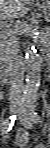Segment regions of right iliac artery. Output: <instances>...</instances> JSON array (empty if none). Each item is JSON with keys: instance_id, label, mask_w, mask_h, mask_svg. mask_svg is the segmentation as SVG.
I'll use <instances>...</instances> for the list:
<instances>
[{"instance_id": "right-iliac-artery-1", "label": "right iliac artery", "mask_w": 50, "mask_h": 148, "mask_svg": "<svg viewBox=\"0 0 50 148\" xmlns=\"http://www.w3.org/2000/svg\"><path fill=\"white\" fill-rule=\"evenodd\" d=\"M16 115H11L8 119H6L5 121H3L2 123V131L3 133H7L8 131L11 130L12 126L14 125V122L16 120Z\"/></svg>"}]
</instances>
